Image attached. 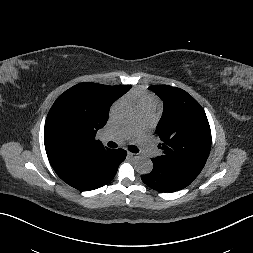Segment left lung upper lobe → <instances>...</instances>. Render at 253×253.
Returning <instances> with one entry per match:
<instances>
[{"mask_svg":"<svg viewBox=\"0 0 253 253\" xmlns=\"http://www.w3.org/2000/svg\"><path fill=\"white\" fill-rule=\"evenodd\" d=\"M149 88L164 104L156 127L163 154L154 159L199 175L211 148V130L203 108L182 89L168 85Z\"/></svg>","mask_w":253,"mask_h":253,"instance_id":"obj_1","label":"left lung upper lobe"}]
</instances>
